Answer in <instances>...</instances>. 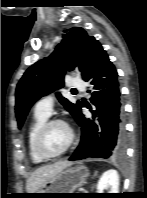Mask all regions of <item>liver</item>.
<instances>
[{
  "label": "liver",
  "mask_w": 147,
  "mask_h": 198,
  "mask_svg": "<svg viewBox=\"0 0 147 198\" xmlns=\"http://www.w3.org/2000/svg\"><path fill=\"white\" fill-rule=\"evenodd\" d=\"M72 163L68 161H59L52 165H46L36 169L26 182L27 193H34L43 187L50 179L55 177L63 169Z\"/></svg>",
  "instance_id": "obj_1"
}]
</instances>
